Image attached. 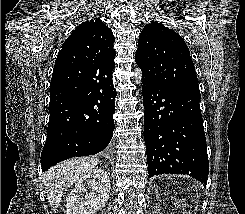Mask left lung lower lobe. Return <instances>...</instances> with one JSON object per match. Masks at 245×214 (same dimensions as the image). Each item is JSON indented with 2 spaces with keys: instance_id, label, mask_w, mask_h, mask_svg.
Listing matches in <instances>:
<instances>
[{
  "instance_id": "obj_1",
  "label": "left lung lower lobe",
  "mask_w": 245,
  "mask_h": 214,
  "mask_svg": "<svg viewBox=\"0 0 245 214\" xmlns=\"http://www.w3.org/2000/svg\"><path fill=\"white\" fill-rule=\"evenodd\" d=\"M144 139L148 177L184 174L207 183L209 161L200 92L143 79Z\"/></svg>"
}]
</instances>
